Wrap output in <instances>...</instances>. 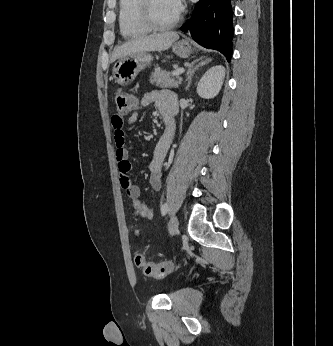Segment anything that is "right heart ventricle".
<instances>
[{"instance_id":"1","label":"right heart ventricle","mask_w":333,"mask_h":346,"mask_svg":"<svg viewBox=\"0 0 333 346\" xmlns=\"http://www.w3.org/2000/svg\"><path fill=\"white\" fill-rule=\"evenodd\" d=\"M118 24L120 34L126 39L145 35L150 28L141 14V0H119Z\"/></svg>"}]
</instances>
